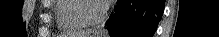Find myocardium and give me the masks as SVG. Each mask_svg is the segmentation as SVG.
<instances>
[{"label":"myocardium","instance_id":"obj_1","mask_svg":"<svg viewBox=\"0 0 219 37\" xmlns=\"http://www.w3.org/2000/svg\"><path fill=\"white\" fill-rule=\"evenodd\" d=\"M101 2L99 0H81L80 1V5H79V9H78V13H79V16L80 18L83 20V22L85 23L86 26H96V25H99L101 24L106 16H107V13H108V10H109V7L107 4H102L103 5V8H102V11L101 13L96 16V17H91L88 15L87 11H86V4L88 2Z\"/></svg>","mask_w":219,"mask_h":37}]
</instances>
